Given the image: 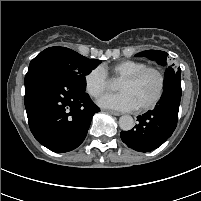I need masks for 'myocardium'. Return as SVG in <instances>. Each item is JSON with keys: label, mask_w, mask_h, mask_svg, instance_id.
I'll return each instance as SVG.
<instances>
[{"label": "myocardium", "mask_w": 201, "mask_h": 201, "mask_svg": "<svg viewBox=\"0 0 201 201\" xmlns=\"http://www.w3.org/2000/svg\"><path fill=\"white\" fill-rule=\"evenodd\" d=\"M148 72H153L156 74V76L158 78V89L152 100H150L146 104L137 106V109L142 110V111L153 108L161 100L164 90H165V84H166V79H165L164 73L158 67L146 66V67H144L130 75H127L121 79L122 81H126V82H135L140 77H142L144 74H146Z\"/></svg>", "instance_id": "obj_1"}]
</instances>
